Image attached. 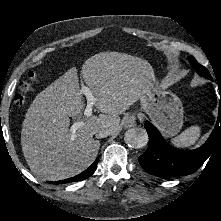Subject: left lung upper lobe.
<instances>
[{
  "label": "left lung upper lobe",
  "instance_id": "1",
  "mask_svg": "<svg viewBox=\"0 0 221 221\" xmlns=\"http://www.w3.org/2000/svg\"><path fill=\"white\" fill-rule=\"evenodd\" d=\"M188 60L190 61L192 67L201 75L204 76L208 79H211V76L209 74V72L207 71V69L205 67H203L202 65H200L195 58L193 57H189Z\"/></svg>",
  "mask_w": 221,
  "mask_h": 221
}]
</instances>
